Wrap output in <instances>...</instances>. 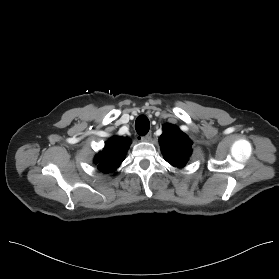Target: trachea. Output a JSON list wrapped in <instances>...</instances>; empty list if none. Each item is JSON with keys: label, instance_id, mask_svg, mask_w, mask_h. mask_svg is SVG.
<instances>
[{"label": "trachea", "instance_id": "trachea-1", "mask_svg": "<svg viewBox=\"0 0 279 279\" xmlns=\"http://www.w3.org/2000/svg\"><path fill=\"white\" fill-rule=\"evenodd\" d=\"M149 128V120L146 116L140 115L139 117H137L135 122V129L139 135H146L149 131Z\"/></svg>", "mask_w": 279, "mask_h": 279}]
</instances>
